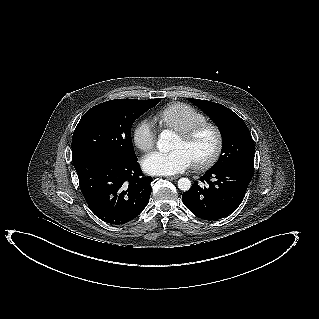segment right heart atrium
<instances>
[{"instance_id":"d8ad5b80","label":"right heart atrium","mask_w":319,"mask_h":319,"mask_svg":"<svg viewBox=\"0 0 319 319\" xmlns=\"http://www.w3.org/2000/svg\"><path fill=\"white\" fill-rule=\"evenodd\" d=\"M133 142L143 152L150 151L157 139V132L147 119L140 120L133 128Z\"/></svg>"}]
</instances>
